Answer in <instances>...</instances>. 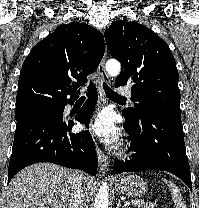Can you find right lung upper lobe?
Listing matches in <instances>:
<instances>
[{
	"label": "right lung upper lobe",
	"mask_w": 199,
	"mask_h": 208,
	"mask_svg": "<svg viewBox=\"0 0 199 208\" xmlns=\"http://www.w3.org/2000/svg\"><path fill=\"white\" fill-rule=\"evenodd\" d=\"M104 51L103 36L95 28L80 22L58 27L25 59L18 81L17 109L61 107L74 101L78 87L97 69Z\"/></svg>",
	"instance_id": "obj_1"
}]
</instances>
